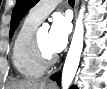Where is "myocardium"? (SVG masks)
I'll use <instances>...</instances> for the list:
<instances>
[{
	"mask_svg": "<svg viewBox=\"0 0 107 89\" xmlns=\"http://www.w3.org/2000/svg\"><path fill=\"white\" fill-rule=\"evenodd\" d=\"M32 53L36 62L44 69L52 66L56 61V56L54 54H46L42 49L38 31H36L33 36Z\"/></svg>",
	"mask_w": 107,
	"mask_h": 89,
	"instance_id": "obj_1",
	"label": "myocardium"
}]
</instances>
